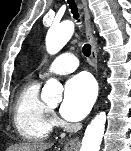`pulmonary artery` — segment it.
I'll use <instances>...</instances> for the list:
<instances>
[{"label": "pulmonary artery", "instance_id": "e3ab8cb5", "mask_svg": "<svg viewBox=\"0 0 131 151\" xmlns=\"http://www.w3.org/2000/svg\"><path fill=\"white\" fill-rule=\"evenodd\" d=\"M79 65L77 57L72 53H63L56 57L41 76L49 74H68L73 72Z\"/></svg>", "mask_w": 131, "mask_h": 151}]
</instances>
